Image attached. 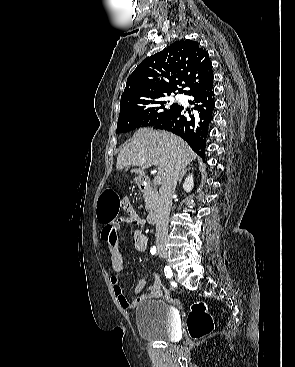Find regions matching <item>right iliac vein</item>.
I'll use <instances>...</instances> for the list:
<instances>
[{
  "mask_svg": "<svg viewBox=\"0 0 295 367\" xmlns=\"http://www.w3.org/2000/svg\"><path fill=\"white\" fill-rule=\"evenodd\" d=\"M159 254H160L162 257H164V258H167V257H168L167 252H166V250H164V249H159Z\"/></svg>",
  "mask_w": 295,
  "mask_h": 367,
  "instance_id": "1",
  "label": "right iliac vein"
}]
</instances>
